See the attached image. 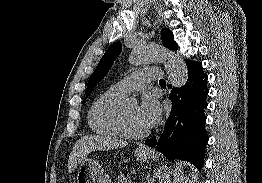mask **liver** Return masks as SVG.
Segmentation results:
<instances>
[{"label": "liver", "instance_id": "1", "mask_svg": "<svg viewBox=\"0 0 262 183\" xmlns=\"http://www.w3.org/2000/svg\"><path fill=\"white\" fill-rule=\"evenodd\" d=\"M127 145L124 140H119L105 135H90L79 139L70 153L68 171L73 172L95 150H109L123 148Z\"/></svg>", "mask_w": 262, "mask_h": 183}]
</instances>
